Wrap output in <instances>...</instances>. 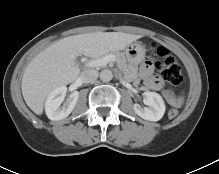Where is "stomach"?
Here are the masks:
<instances>
[{
    "label": "stomach",
    "instance_id": "obj_1",
    "mask_svg": "<svg viewBox=\"0 0 219 174\" xmlns=\"http://www.w3.org/2000/svg\"><path fill=\"white\" fill-rule=\"evenodd\" d=\"M145 48L139 43H131L125 49V56L129 63L139 64L145 57Z\"/></svg>",
    "mask_w": 219,
    "mask_h": 174
}]
</instances>
